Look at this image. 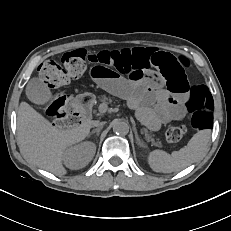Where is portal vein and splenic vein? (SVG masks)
Here are the masks:
<instances>
[{"instance_id": "1", "label": "portal vein and splenic vein", "mask_w": 231, "mask_h": 231, "mask_svg": "<svg viewBox=\"0 0 231 231\" xmlns=\"http://www.w3.org/2000/svg\"><path fill=\"white\" fill-rule=\"evenodd\" d=\"M108 110V104L107 103H102L98 107V111L100 113H105Z\"/></svg>"}]
</instances>
